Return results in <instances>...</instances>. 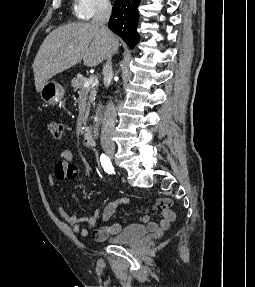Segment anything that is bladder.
Segmentation results:
<instances>
[{
	"label": "bladder",
	"instance_id": "1",
	"mask_svg": "<svg viewBox=\"0 0 255 287\" xmlns=\"http://www.w3.org/2000/svg\"><path fill=\"white\" fill-rule=\"evenodd\" d=\"M148 233L145 226L139 224H129L120 229V231L107 238L111 244H129L143 238Z\"/></svg>",
	"mask_w": 255,
	"mask_h": 287
}]
</instances>
